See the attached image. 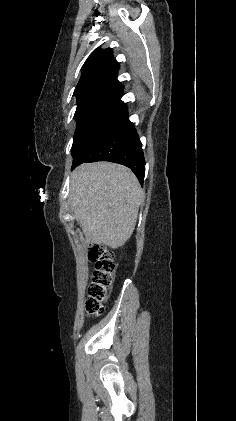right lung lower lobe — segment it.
Here are the masks:
<instances>
[{
    "label": "right lung lower lobe",
    "mask_w": 236,
    "mask_h": 421,
    "mask_svg": "<svg viewBox=\"0 0 236 421\" xmlns=\"http://www.w3.org/2000/svg\"><path fill=\"white\" fill-rule=\"evenodd\" d=\"M96 161L125 165L143 183L145 160L142 144L133 123L128 119L127 106L123 102L82 143L73 156L72 169L83 162Z\"/></svg>",
    "instance_id": "right-lung-lower-lobe-1"
}]
</instances>
